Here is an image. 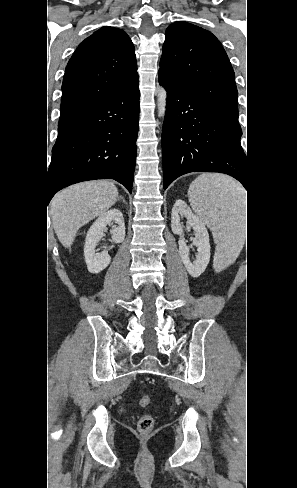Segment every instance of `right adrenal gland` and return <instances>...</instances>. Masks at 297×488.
Wrapping results in <instances>:
<instances>
[{
  "mask_svg": "<svg viewBox=\"0 0 297 488\" xmlns=\"http://www.w3.org/2000/svg\"><path fill=\"white\" fill-rule=\"evenodd\" d=\"M119 200H122V201H123V203H125V199H124V197H123V196H119Z\"/></svg>",
  "mask_w": 297,
  "mask_h": 488,
  "instance_id": "right-adrenal-gland-1",
  "label": "right adrenal gland"
}]
</instances>
